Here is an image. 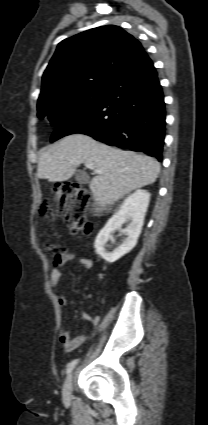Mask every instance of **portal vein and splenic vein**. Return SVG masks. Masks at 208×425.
Listing matches in <instances>:
<instances>
[{"label": "portal vein and splenic vein", "mask_w": 208, "mask_h": 425, "mask_svg": "<svg viewBox=\"0 0 208 425\" xmlns=\"http://www.w3.org/2000/svg\"><path fill=\"white\" fill-rule=\"evenodd\" d=\"M85 166H86L87 168H89V169H91V170L95 171L96 173H102V170H100V169H96V168L94 167L93 163L86 162V163H85Z\"/></svg>", "instance_id": "obj_1"}]
</instances>
